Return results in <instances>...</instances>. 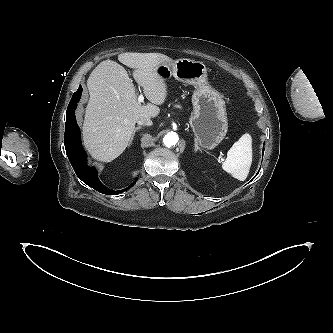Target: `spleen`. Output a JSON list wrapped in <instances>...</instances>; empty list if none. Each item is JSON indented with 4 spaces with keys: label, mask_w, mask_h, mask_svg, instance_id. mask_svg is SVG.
<instances>
[{
    "label": "spleen",
    "mask_w": 333,
    "mask_h": 333,
    "mask_svg": "<svg viewBox=\"0 0 333 333\" xmlns=\"http://www.w3.org/2000/svg\"><path fill=\"white\" fill-rule=\"evenodd\" d=\"M251 163V136L246 133L228 150L227 157L222 163V168L235 179L244 181L249 174Z\"/></svg>",
    "instance_id": "3e777b00"
}]
</instances>
